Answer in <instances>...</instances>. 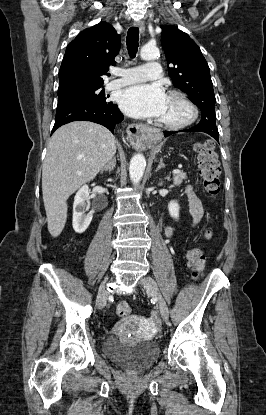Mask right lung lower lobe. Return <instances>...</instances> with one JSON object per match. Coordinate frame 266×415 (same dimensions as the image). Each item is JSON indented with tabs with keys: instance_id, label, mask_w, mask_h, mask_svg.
Segmentation results:
<instances>
[{
	"instance_id": "1",
	"label": "right lung lower lobe",
	"mask_w": 266,
	"mask_h": 415,
	"mask_svg": "<svg viewBox=\"0 0 266 415\" xmlns=\"http://www.w3.org/2000/svg\"><path fill=\"white\" fill-rule=\"evenodd\" d=\"M123 120V114L112 102L99 105L86 102L59 103L56 110L52 133L60 126L72 121H91L101 124L114 133L117 123Z\"/></svg>"
}]
</instances>
